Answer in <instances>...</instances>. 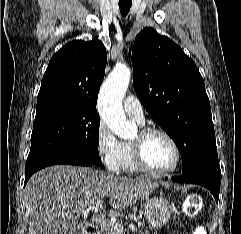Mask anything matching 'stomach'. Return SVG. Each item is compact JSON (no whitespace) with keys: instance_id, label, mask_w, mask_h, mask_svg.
<instances>
[{"instance_id":"1","label":"stomach","mask_w":241,"mask_h":234,"mask_svg":"<svg viewBox=\"0 0 241 234\" xmlns=\"http://www.w3.org/2000/svg\"><path fill=\"white\" fill-rule=\"evenodd\" d=\"M143 212L150 227L160 228L171 218L173 206L164 197L153 196L144 202Z\"/></svg>"}]
</instances>
